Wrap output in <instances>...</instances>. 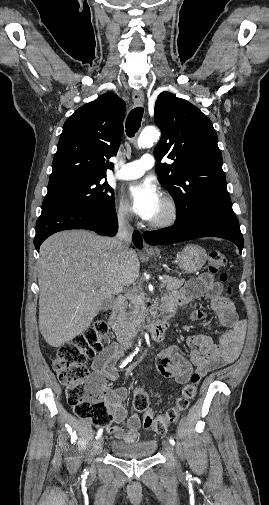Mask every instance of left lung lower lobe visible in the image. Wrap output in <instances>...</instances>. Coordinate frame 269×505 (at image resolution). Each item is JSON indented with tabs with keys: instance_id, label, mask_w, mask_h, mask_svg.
<instances>
[{
	"instance_id": "0a47b994",
	"label": "left lung lower lobe",
	"mask_w": 269,
	"mask_h": 505,
	"mask_svg": "<svg viewBox=\"0 0 269 505\" xmlns=\"http://www.w3.org/2000/svg\"><path fill=\"white\" fill-rule=\"evenodd\" d=\"M143 237L150 245L173 244L201 237H219L235 243L240 253L244 245L232 207L225 206L209 208L188 223H175L161 230L146 232Z\"/></svg>"
}]
</instances>
